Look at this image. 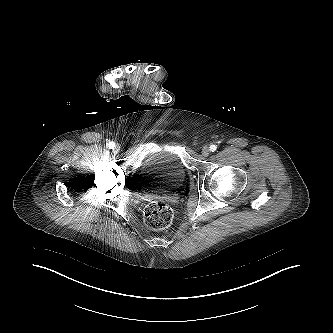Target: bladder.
Wrapping results in <instances>:
<instances>
[{
	"mask_svg": "<svg viewBox=\"0 0 333 333\" xmlns=\"http://www.w3.org/2000/svg\"><path fill=\"white\" fill-rule=\"evenodd\" d=\"M186 167L176 142L169 140L149 154L137 169V184L145 191H170L184 181Z\"/></svg>",
	"mask_w": 333,
	"mask_h": 333,
	"instance_id": "bladder-1",
	"label": "bladder"
}]
</instances>
